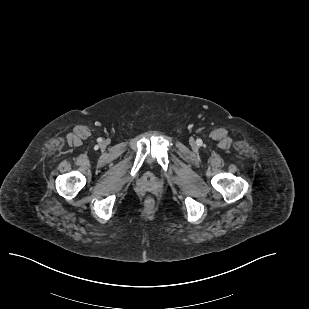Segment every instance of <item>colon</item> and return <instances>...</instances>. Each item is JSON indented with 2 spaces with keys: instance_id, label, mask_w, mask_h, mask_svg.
<instances>
[{
  "instance_id": "colon-1",
  "label": "colon",
  "mask_w": 309,
  "mask_h": 309,
  "mask_svg": "<svg viewBox=\"0 0 309 309\" xmlns=\"http://www.w3.org/2000/svg\"><path fill=\"white\" fill-rule=\"evenodd\" d=\"M154 204H155V201H154L153 198H147V199L145 200V205H146V207H148V208L153 207Z\"/></svg>"
}]
</instances>
